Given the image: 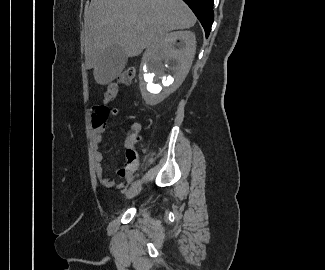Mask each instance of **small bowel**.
<instances>
[{"mask_svg": "<svg viewBox=\"0 0 325 270\" xmlns=\"http://www.w3.org/2000/svg\"><path fill=\"white\" fill-rule=\"evenodd\" d=\"M119 114V110L117 108L109 109L108 103H95V109L92 117V125H91V142H92V151H93V159H94V168L97 179L100 184L106 188H111L114 185L118 189H122L124 187L123 182L116 183L103 175L101 163L103 161V154L99 149V145L103 141V131L105 129L106 121L110 120V117H117ZM103 121V122H102ZM140 127L138 124L133 125L132 133L127 137L125 145H126V153L125 160L127 165L125 167H121L117 170V174L119 177L125 180L126 183H131L134 179L133 171L137 168L138 165V153L134 147V139L139 131ZM135 153L136 158L132 159L131 154Z\"/></svg>", "mask_w": 325, "mask_h": 270, "instance_id": "small-bowel-1", "label": "small bowel"}]
</instances>
